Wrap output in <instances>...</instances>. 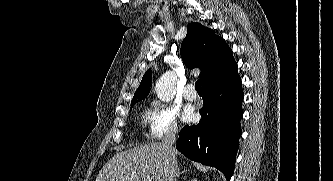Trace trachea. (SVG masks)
Returning a JSON list of instances; mask_svg holds the SVG:
<instances>
[{
	"instance_id": "obj_1",
	"label": "trachea",
	"mask_w": 333,
	"mask_h": 181,
	"mask_svg": "<svg viewBox=\"0 0 333 181\" xmlns=\"http://www.w3.org/2000/svg\"><path fill=\"white\" fill-rule=\"evenodd\" d=\"M195 89L197 92H201V83L200 80H197L195 83Z\"/></svg>"
}]
</instances>
